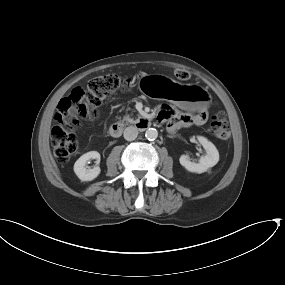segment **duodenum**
<instances>
[{"label":"duodenum","mask_w":285,"mask_h":285,"mask_svg":"<svg viewBox=\"0 0 285 285\" xmlns=\"http://www.w3.org/2000/svg\"><path fill=\"white\" fill-rule=\"evenodd\" d=\"M148 120L146 118H143L140 120V122L138 123V127L141 129H145L148 126ZM124 126L122 123H113L110 127V134L113 137H120L122 132H123Z\"/></svg>","instance_id":"410a0bca"}]
</instances>
